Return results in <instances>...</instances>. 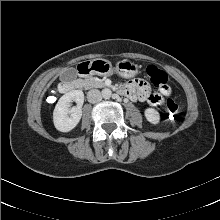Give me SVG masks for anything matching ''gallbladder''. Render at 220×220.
I'll use <instances>...</instances> for the list:
<instances>
[{
	"mask_svg": "<svg viewBox=\"0 0 220 220\" xmlns=\"http://www.w3.org/2000/svg\"><path fill=\"white\" fill-rule=\"evenodd\" d=\"M70 76V78L73 80L76 78V69L74 68H70L69 70H67L66 72L63 73V77H66V76Z\"/></svg>",
	"mask_w": 220,
	"mask_h": 220,
	"instance_id": "1",
	"label": "gallbladder"
}]
</instances>
